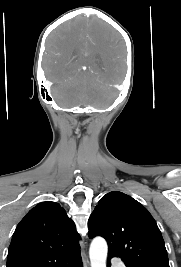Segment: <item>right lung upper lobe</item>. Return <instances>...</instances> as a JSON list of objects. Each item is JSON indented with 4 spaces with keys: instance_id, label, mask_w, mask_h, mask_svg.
Returning <instances> with one entry per match:
<instances>
[{
    "instance_id": "obj_1",
    "label": "right lung upper lobe",
    "mask_w": 181,
    "mask_h": 267,
    "mask_svg": "<svg viewBox=\"0 0 181 267\" xmlns=\"http://www.w3.org/2000/svg\"><path fill=\"white\" fill-rule=\"evenodd\" d=\"M80 235L58 203L46 201L18 224L8 250L7 267H50L80 251Z\"/></svg>"
}]
</instances>
